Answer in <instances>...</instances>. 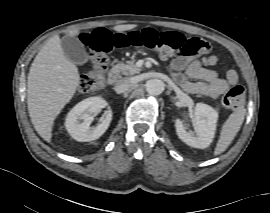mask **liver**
Wrapping results in <instances>:
<instances>
[{
	"label": "liver",
	"mask_w": 270,
	"mask_h": 213,
	"mask_svg": "<svg viewBox=\"0 0 270 213\" xmlns=\"http://www.w3.org/2000/svg\"><path fill=\"white\" fill-rule=\"evenodd\" d=\"M134 24L117 25V32L135 28ZM79 30L66 33L75 36ZM80 83L78 68L68 60L59 35L51 37L36 55L28 74L27 104L37 133L51 142L54 120L70 102Z\"/></svg>",
	"instance_id": "1"
}]
</instances>
